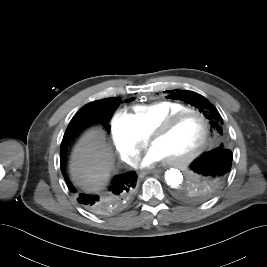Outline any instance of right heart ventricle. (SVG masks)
Returning a JSON list of instances; mask_svg holds the SVG:
<instances>
[{
    "instance_id": "right-heart-ventricle-1",
    "label": "right heart ventricle",
    "mask_w": 267,
    "mask_h": 267,
    "mask_svg": "<svg viewBox=\"0 0 267 267\" xmlns=\"http://www.w3.org/2000/svg\"><path fill=\"white\" fill-rule=\"evenodd\" d=\"M186 109L190 108L180 102L158 101L133 106L127 115L135 128L147 137L166 118Z\"/></svg>"
}]
</instances>
